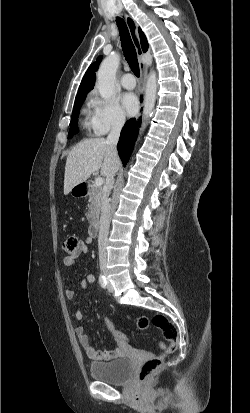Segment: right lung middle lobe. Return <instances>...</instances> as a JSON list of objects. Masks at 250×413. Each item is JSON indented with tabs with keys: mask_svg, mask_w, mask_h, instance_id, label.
Segmentation results:
<instances>
[{
	"mask_svg": "<svg viewBox=\"0 0 250 413\" xmlns=\"http://www.w3.org/2000/svg\"><path fill=\"white\" fill-rule=\"evenodd\" d=\"M85 98H86V95H82V96L75 98V104H74V109L72 112V118L70 122V130H69L68 138H71L74 134L78 132L77 118L79 116V108L83 104Z\"/></svg>",
	"mask_w": 250,
	"mask_h": 413,
	"instance_id": "dd1d6c3e",
	"label": "right lung middle lobe"
}]
</instances>
